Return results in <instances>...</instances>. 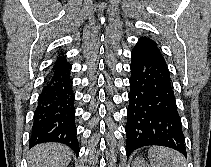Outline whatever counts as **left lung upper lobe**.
I'll list each match as a JSON object with an SVG mask.
<instances>
[{"label": "left lung upper lobe", "mask_w": 211, "mask_h": 167, "mask_svg": "<svg viewBox=\"0 0 211 167\" xmlns=\"http://www.w3.org/2000/svg\"><path fill=\"white\" fill-rule=\"evenodd\" d=\"M135 47L151 50L164 64H166L162 53L157 49V44L155 41L147 37H140Z\"/></svg>", "instance_id": "5c2ea615"}]
</instances>
